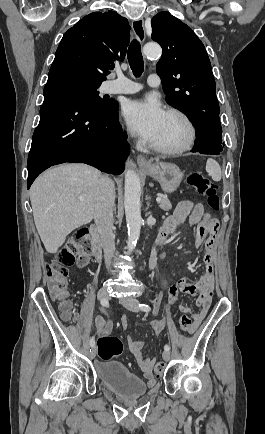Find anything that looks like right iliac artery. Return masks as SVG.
<instances>
[{
  "mask_svg": "<svg viewBox=\"0 0 265 434\" xmlns=\"http://www.w3.org/2000/svg\"><path fill=\"white\" fill-rule=\"evenodd\" d=\"M100 303H101L102 306H105V307L108 306V300H106V299H101ZM90 346H91V347H94V346H95V340H94V337H92V338L90 339Z\"/></svg>",
  "mask_w": 265,
  "mask_h": 434,
  "instance_id": "obj_1",
  "label": "right iliac artery"
}]
</instances>
